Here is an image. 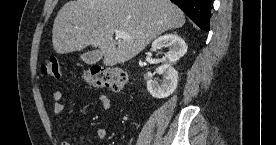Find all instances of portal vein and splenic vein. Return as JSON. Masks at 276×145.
<instances>
[{"label":"portal vein and splenic vein","mask_w":276,"mask_h":145,"mask_svg":"<svg viewBox=\"0 0 276 145\" xmlns=\"http://www.w3.org/2000/svg\"><path fill=\"white\" fill-rule=\"evenodd\" d=\"M115 36L117 38H123V39H130L131 37L127 35L124 31L122 30H115Z\"/></svg>","instance_id":"1"}]
</instances>
